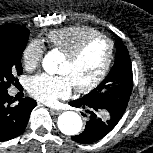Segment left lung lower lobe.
Wrapping results in <instances>:
<instances>
[{
  "label": "left lung lower lobe",
  "instance_id": "left-lung-lower-lobe-1",
  "mask_svg": "<svg viewBox=\"0 0 153 153\" xmlns=\"http://www.w3.org/2000/svg\"><path fill=\"white\" fill-rule=\"evenodd\" d=\"M70 105L82 107L89 113L85 130L81 134L71 137L75 142L90 144L98 141L106 136L119 122V120L106 116L102 106L98 103H89L78 99L70 102Z\"/></svg>",
  "mask_w": 153,
  "mask_h": 153
}]
</instances>
